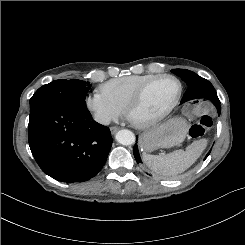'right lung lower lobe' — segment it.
Listing matches in <instances>:
<instances>
[{
  "instance_id": "98d812e1",
  "label": "right lung lower lobe",
  "mask_w": 245,
  "mask_h": 245,
  "mask_svg": "<svg viewBox=\"0 0 245 245\" xmlns=\"http://www.w3.org/2000/svg\"><path fill=\"white\" fill-rule=\"evenodd\" d=\"M29 146L40 168L66 183L84 182L103 167L112 146L108 127L93 121L87 109L58 103L30 110Z\"/></svg>"
}]
</instances>
